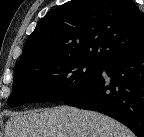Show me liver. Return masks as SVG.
Here are the masks:
<instances>
[{
  "instance_id": "liver-1",
  "label": "liver",
  "mask_w": 144,
  "mask_h": 137,
  "mask_svg": "<svg viewBox=\"0 0 144 137\" xmlns=\"http://www.w3.org/2000/svg\"><path fill=\"white\" fill-rule=\"evenodd\" d=\"M5 137H135L122 123L94 111L58 106L14 112Z\"/></svg>"
}]
</instances>
